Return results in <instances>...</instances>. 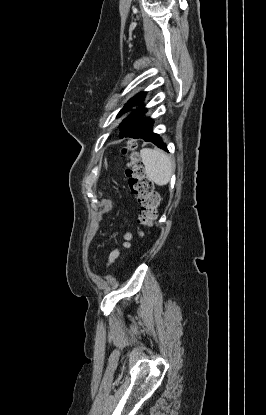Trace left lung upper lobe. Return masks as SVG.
<instances>
[{
    "label": "left lung upper lobe",
    "instance_id": "left-lung-upper-lobe-1",
    "mask_svg": "<svg viewBox=\"0 0 266 415\" xmlns=\"http://www.w3.org/2000/svg\"><path fill=\"white\" fill-rule=\"evenodd\" d=\"M146 93L141 92L131 98L119 112L118 116L129 111L133 106L140 105L137 110H134L127 118H125L120 125V138L143 135L152 132L153 121L150 118H144L147 109L142 106V101Z\"/></svg>",
    "mask_w": 266,
    "mask_h": 415
}]
</instances>
